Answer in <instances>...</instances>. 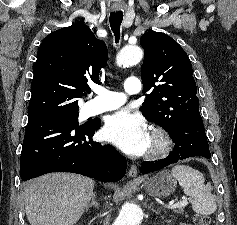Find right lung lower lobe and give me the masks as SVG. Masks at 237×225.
Here are the masks:
<instances>
[{"label":"right lung lower lobe","instance_id":"98d812e1","mask_svg":"<svg viewBox=\"0 0 237 225\" xmlns=\"http://www.w3.org/2000/svg\"><path fill=\"white\" fill-rule=\"evenodd\" d=\"M100 126V121L79 125L57 118L29 120L20 158L21 179L72 172L104 182L120 180L126 172L125 157L113 146L91 139Z\"/></svg>","mask_w":237,"mask_h":225}]
</instances>
